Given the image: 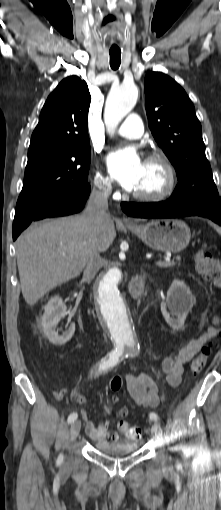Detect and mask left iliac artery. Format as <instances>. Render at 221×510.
<instances>
[{"label":"left iliac artery","instance_id":"left-iliac-artery-1","mask_svg":"<svg viewBox=\"0 0 221 510\" xmlns=\"http://www.w3.org/2000/svg\"><path fill=\"white\" fill-rule=\"evenodd\" d=\"M149 417H150L151 420H154V421H157L159 419V416L156 413H154V412H151L149 414Z\"/></svg>","mask_w":221,"mask_h":510}]
</instances>
